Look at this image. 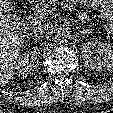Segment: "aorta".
I'll return each instance as SVG.
<instances>
[{"instance_id": "obj_1", "label": "aorta", "mask_w": 113, "mask_h": 113, "mask_svg": "<svg viewBox=\"0 0 113 113\" xmlns=\"http://www.w3.org/2000/svg\"><path fill=\"white\" fill-rule=\"evenodd\" d=\"M72 34L67 28H59L54 34V41L60 45H66L71 40Z\"/></svg>"}]
</instances>
